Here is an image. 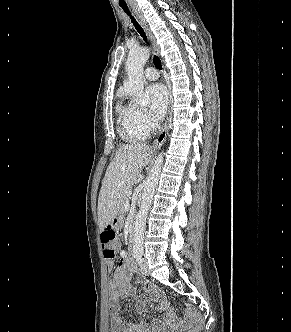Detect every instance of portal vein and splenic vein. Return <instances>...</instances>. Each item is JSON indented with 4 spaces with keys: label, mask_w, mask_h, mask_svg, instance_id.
I'll use <instances>...</instances> for the list:
<instances>
[{
    "label": "portal vein and splenic vein",
    "mask_w": 291,
    "mask_h": 332,
    "mask_svg": "<svg viewBox=\"0 0 291 332\" xmlns=\"http://www.w3.org/2000/svg\"><path fill=\"white\" fill-rule=\"evenodd\" d=\"M125 208H126V209H129V208H130V202H129V201H127V203L125 204Z\"/></svg>",
    "instance_id": "obj_1"
}]
</instances>
